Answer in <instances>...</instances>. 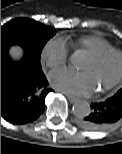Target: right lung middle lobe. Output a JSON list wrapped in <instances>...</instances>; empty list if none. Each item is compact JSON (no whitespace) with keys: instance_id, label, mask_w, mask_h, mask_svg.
Returning a JSON list of instances; mask_svg holds the SVG:
<instances>
[{"instance_id":"dd1d6c3e","label":"right lung middle lobe","mask_w":122,"mask_h":154,"mask_svg":"<svg viewBox=\"0 0 122 154\" xmlns=\"http://www.w3.org/2000/svg\"><path fill=\"white\" fill-rule=\"evenodd\" d=\"M54 34L51 27L32 19H13L1 27V49H8L11 45L18 44L35 65L41 68L42 49Z\"/></svg>"}]
</instances>
